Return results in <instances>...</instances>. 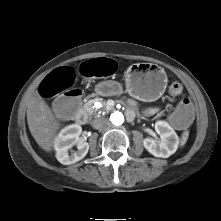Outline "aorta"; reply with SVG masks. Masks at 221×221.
Returning <instances> with one entry per match:
<instances>
[{
	"label": "aorta",
	"mask_w": 221,
	"mask_h": 221,
	"mask_svg": "<svg viewBox=\"0 0 221 221\" xmlns=\"http://www.w3.org/2000/svg\"><path fill=\"white\" fill-rule=\"evenodd\" d=\"M110 121L113 125H121L124 122V116L121 112L115 111L114 113L111 114L110 116Z\"/></svg>",
	"instance_id": "762f6f07"
}]
</instances>
